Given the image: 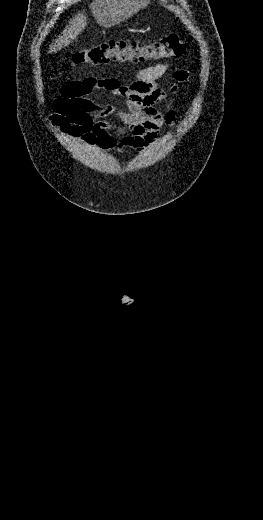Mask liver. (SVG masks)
I'll list each match as a JSON object with an SVG mask.
<instances>
[{
    "mask_svg": "<svg viewBox=\"0 0 263 520\" xmlns=\"http://www.w3.org/2000/svg\"><path fill=\"white\" fill-rule=\"evenodd\" d=\"M150 0H94L90 4L91 12L97 23L109 28L120 24L141 9L145 8ZM87 26L84 12H78L69 21V26L62 35L49 47V53H56L68 46Z\"/></svg>",
    "mask_w": 263,
    "mask_h": 520,
    "instance_id": "liver-1",
    "label": "liver"
}]
</instances>
